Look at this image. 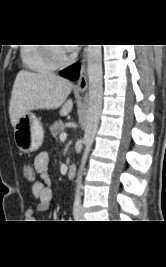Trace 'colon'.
I'll return each mask as SVG.
<instances>
[{
  "label": "colon",
  "instance_id": "5ec220e1",
  "mask_svg": "<svg viewBox=\"0 0 166 267\" xmlns=\"http://www.w3.org/2000/svg\"><path fill=\"white\" fill-rule=\"evenodd\" d=\"M22 173V178H28V182H35V173H33V168L29 165L24 166Z\"/></svg>",
  "mask_w": 166,
  "mask_h": 267
}]
</instances>
